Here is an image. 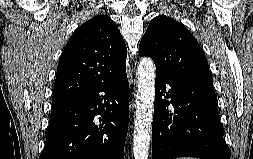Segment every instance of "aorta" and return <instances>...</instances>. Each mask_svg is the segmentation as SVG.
Segmentation results:
<instances>
[{
	"mask_svg": "<svg viewBox=\"0 0 253 159\" xmlns=\"http://www.w3.org/2000/svg\"><path fill=\"white\" fill-rule=\"evenodd\" d=\"M137 95L133 133L134 159H148L155 98V65L142 58L137 68Z\"/></svg>",
	"mask_w": 253,
	"mask_h": 159,
	"instance_id": "aorta-1",
	"label": "aorta"
}]
</instances>
